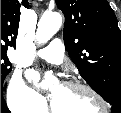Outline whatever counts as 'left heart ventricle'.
I'll use <instances>...</instances> for the list:
<instances>
[{"label": "left heart ventricle", "mask_w": 121, "mask_h": 113, "mask_svg": "<svg viewBox=\"0 0 121 113\" xmlns=\"http://www.w3.org/2000/svg\"><path fill=\"white\" fill-rule=\"evenodd\" d=\"M51 101L58 113H101L103 110L101 103L90 93L68 89L62 85H55L51 89Z\"/></svg>", "instance_id": "left-heart-ventricle-1"}]
</instances>
